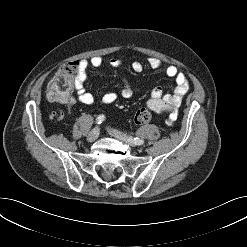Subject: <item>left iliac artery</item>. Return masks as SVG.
<instances>
[{"instance_id":"44dca946","label":"left iliac artery","mask_w":247,"mask_h":247,"mask_svg":"<svg viewBox=\"0 0 247 247\" xmlns=\"http://www.w3.org/2000/svg\"><path fill=\"white\" fill-rule=\"evenodd\" d=\"M130 139L136 144V145H142L144 143V140L136 137V138H132L130 137Z\"/></svg>"}]
</instances>
